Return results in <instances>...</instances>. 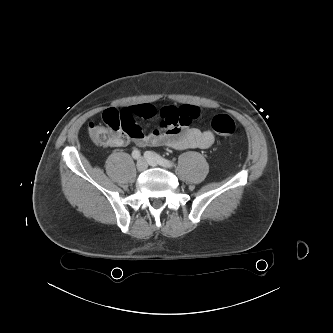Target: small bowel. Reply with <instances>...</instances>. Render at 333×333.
Returning <instances> with one entry per match:
<instances>
[{
  "instance_id": "1",
  "label": "small bowel",
  "mask_w": 333,
  "mask_h": 333,
  "mask_svg": "<svg viewBox=\"0 0 333 333\" xmlns=\"http://www.w3.org/2000/svg\"><path fill=\"white\" fill-rule=\"evenodd\" d=\"M128 111L138 119H159V126L152 129L137 124V130L132 134L119 132L111 145L113 147L126 146L133 141L140 146H165L176 150L207 149L215 141L212 131L191 126L200 116V110L196 106H167L156 109L145 104L131 107Z\"/></svg>"
}]
</instances>
